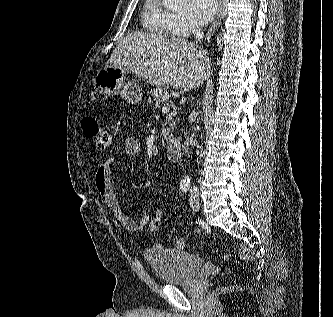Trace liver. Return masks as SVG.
<instances>
[{
	"label": "liver",
	"mask_w": 333,
	"mask_h": 317,
	"mask_svg": "<svg viewBox=\"0 0 333 317\" xmlns=\"http://www.w3.org/2000/svg\"><path fill=\"white\" fill-rule=\"evenodd\" d=\"M106 67L131 71L152 86L190 91L209 77L210 60L182 37L135 31L118 43Z\"/></svg>",
	"instance_id": "obj_1"
}]
</instances>
